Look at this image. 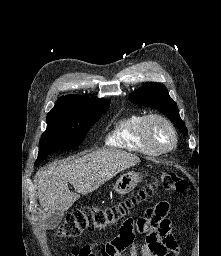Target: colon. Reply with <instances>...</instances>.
<instances>
[{"label": "colon", "instance_id": "1", "mask_svg": "<svg viewBox=\"0 0 221 256\" xmlns=\"http://www.w3.org/2000/svg\"><path fill=\"white\" fill-rule=\"evenodd\" d=\"M184 178L174 172H163L157 181L151 182L136 194L106 207H84L69 213L57 227V235L63 238L78 236L84 232L101 231L113 225L120 229L129 226L128 213L139 202L152 196L157 188L182 193L187 189Z\"/></svg>", "mask_w": 221, "mask_h": 256}]
</instances>
